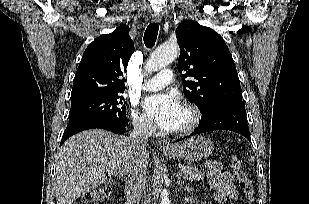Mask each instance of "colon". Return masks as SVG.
Masks as SVG:
<instances>
[{
    "label": "colon",
    "instance_id": "1",
    "mask_svg": "<svg viewBox=\"0 0 309 204\" xmlns=\"http://www.w3.org/2000/svg\"><path fill=\"white\" fill-rule=\"evenodd\" d=\"M231 167L234 172L235 179L244 193L246 203L252 204L254 201L255 191L251 180L248 177L246 170L243 167L241 160L235 155H231ZM111 190L108 187L99 188L89 193L84 201L86 203L97 204L101 201L106 200L110 196Z\"/></svg>",
    "mask_w": 309,
    "mask_h": 204
}]
</instances>
